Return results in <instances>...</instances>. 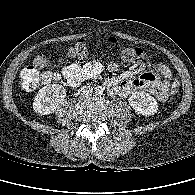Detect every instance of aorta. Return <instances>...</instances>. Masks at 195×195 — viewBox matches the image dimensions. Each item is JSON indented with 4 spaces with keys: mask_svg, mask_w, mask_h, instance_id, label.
Masks as SVG:
<instances>
[{
    "mask_svg": "<svg viewBox=\"0 0 195 195\" xmlns=\"http://www.w3.org/2000/svg\"><path fill=\"white\" fill-rule=\"evenodd\" d=\"M96 92H97L98 94H102L103 89H102L101 87H98V88H96Z\"/></svg>",
    "mask_w": 195,
    "mask_h": 195,
    "instance_id": "1",
    "label": "aorta"
}]
</instances>
